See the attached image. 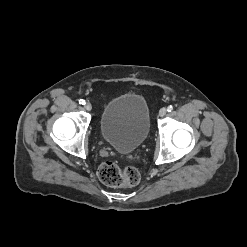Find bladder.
<instances>
[{
  "label": "bladder",
  "mask_w": 247,
  "mask_h": 247,
  "mask_svg": "<svg viewBox=\"0 0 247 247\" xmlns=\"http://www.w3.org/2000/svg\"><path fill=\"white\" fill-rule=\"evenodd\" d=\"M150 130L149 107L143 96L126 93L110 100L101 113L103 139L120 153L136 150Z\"/></svg>",
  "instance_id": "obj_1"
}]
</instances>
